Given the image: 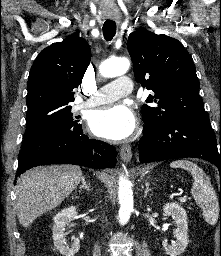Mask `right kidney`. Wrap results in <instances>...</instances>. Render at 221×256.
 <instances>
[{
  "mask_svg": "<svg viewBox=\"0 0 221 256\" xmlns=\"http://www.w3.org/2000/svg\"><path fill=\"white\" fill-rule=\"evenodd\" d=\"M77 212L74 206L65 208L53 218V240L54 246L63 256H74L80 249L79 239H74L72 245L66 246L65 229L71 220L76 217Z\"/></svg>",
  "mask_w": 221,
  "mask_h": 256,
  "instance_id": "obj_1",
  "label": "right kidney"
}]
</instances>
